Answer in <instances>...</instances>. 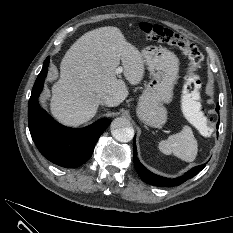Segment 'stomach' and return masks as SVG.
I'll return each instance as SVG.
<instances>
[{"instance_id":"0dacf381","label":"stomach","mask_w":233,"mask_h":233,"mask_svg":"<svg viewBox=\"0 0 233 233\" xmlns=\"http://www.w3.org/2000/svg\"><path fill=\"white\" fill-rule=\"evenodd\" d=\"M142 56L148 66L151 80L139 98L137 116L144 124L160 127L167 120L164 104L172 101L179 60L173 52L157 46L144 48Z\"/></svg>"}]
</instances>
